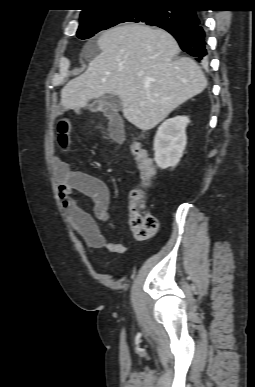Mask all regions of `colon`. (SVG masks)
I'll return each instance as SVG.
<instances>
[{"label": "colon", "mask_w": 255, "mask_h": 387, "mask_svg": "<svg viewBox=\"0 0 255 387\" xmlns=\"http://www.w3.org/2000/svg\"><path fill=\"white\" fill-rule=\"evenodd\" d=\"M130 149L138 164L141 187L130 193L128 204L129 224L135 236L148 238L155 235L158 230L157 219L147 214L145 210L146 189L153 183L156 168L140 143L133 142Z\"/></svg>", "instance_id": "obj_1"}]
</instances>
